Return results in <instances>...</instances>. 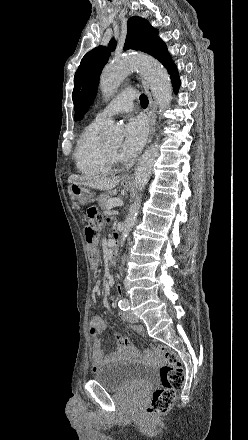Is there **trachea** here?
<instances>
[{
	"label": "trachea",
	"instance_id": "1",
	"mask_svg": "<svg viewBox=\"0 0 248 440\" xmlns=\"http://www.w3.org/2000/svg\"><path fill=\"white\" fill-rule=\"evenodd\" d=\"M140 103H141V106L144 108H146L148 106L149 101H148V98L146 95H144V94L140 95Z\"/></svg>",
	"mask_w": 248,
	"mask_h": 440
}]
</instances>
